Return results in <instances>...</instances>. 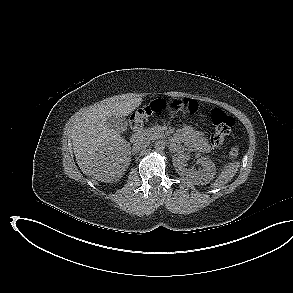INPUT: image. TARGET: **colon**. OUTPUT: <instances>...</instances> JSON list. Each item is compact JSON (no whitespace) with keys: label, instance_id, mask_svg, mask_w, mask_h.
<instances>
[{"label":"colon","instance_id":"obj_1","mask_svg":"<svg viewBox=\"0 0 293 293\" xmlns=\"http://www.w3.org/2000/svg\"><path fill=\"white\" fill-rule=\"evenodd\" d=\"M185 107L191 114H195L199 110V105L195 100H187ZM165 108V104L161 100L151 102L149 105L138 109L130 119V127L133 131L140 129L143 124L153 115H159ZM211 120L214 125V133L210 141L213 146H220L225 137L231 131L234 125V119L220 109H214L211 114ZM240 153V146L234 145L231 147L229 155L231 158H236Z\"/></svg>","mask_w":293,"mask_h":293}]
</instances>
